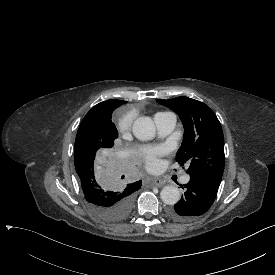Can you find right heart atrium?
Here are the masks:
<instances>
[{"mask_svg": "<svg viewBox=\"0 0 275 275\" xmlns=\"http://www.w3.org/2000/svg\"><path fill=\"white\" fill-rule=\"evenodd\" d=\"M130 122H131V118L122 120L118 125L119 131L120 132L126 131L130 127Z\"/></svg>", "mask_w": 275, "mask_h": 275, "instance_id": "obj_1", "label": "right heart atrium"}]
</instances>
